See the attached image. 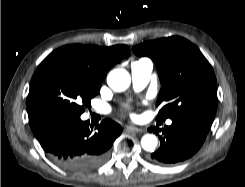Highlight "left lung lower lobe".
Segmentation results:
<instances>
[{"label": "left lung lower lobe", "instance_id": "obj_1", "mask_svg": "<svg viewBox=\"0 0 245 187\" xmlns=\"http://www.w3.org/2000/svg\"><path fill=\"white\" fill-rule=\"evenodd\" d=\"M213 118L191 117L172 120L164 129L153 128L160 148L151 154L154 162L175 164L192 157L203 145ZM152 128H149L151 131ZM162 132V134H161Z\"/></svg>", "mask_w": 245, "mask_h": 187}]
</instances>
